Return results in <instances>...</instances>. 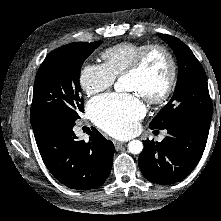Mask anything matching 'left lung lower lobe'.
Wrapping results in <instances>:
<instances>
[{
    "label": "left lung lower lobe",
    "mask_w": 221,
    "mask_h": 221,
    "mask_svg": "<svg viewBox=\"0 0 221 221\" xmlns=\"http://www.w3.org/2000/svg\"><path fill=\"white\" fill-rule=\"evenodd\" d=\"M210 122L183 120L165 129L162 142L146 140L138 164L143 176L157 184L184 179L198 164L209 133Z\"/></svg>",
    "instance_id": "0a47b994"
}]
</instances>
